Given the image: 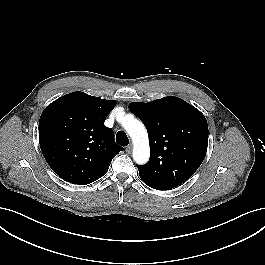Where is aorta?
Here are the masks:
<instances>
[{
    "label": "aorta",
    "mask_w": 265,
    "mask_h": 265,
    "mask_svg": "<svg viewBox=\"0 0 265 265\" xmlns=\"http://www.w3.org/2000/svg\"><path fill=\"white\" fill-rule=\"evenodd\" d=\"M124 128L134 144L133 159L138 164H145L150 157V146L144 124L137 119H130L124 122Z\"/></svg>",
    "instance_id": "762f6f07"
}]
</instances>
